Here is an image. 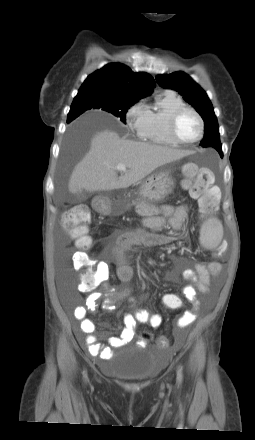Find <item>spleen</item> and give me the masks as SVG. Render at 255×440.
Masks as SVG:
<instances>
[{"instance_id": "spleen-1", "label": "spleen", "mask_w": 255, "mask_h": 440, "mask_svg": "<svg viewBox=\"0 0 255 440\" xmlns=\"http://www.w3.org/2000/svg\"><path fill=\"white\" fill-rule=\"evenodd\" d=\"M223 237V227L219 220L209 219L200 229V244L206 249H213L219 245Z\"/></svg>"}]
</instances>
